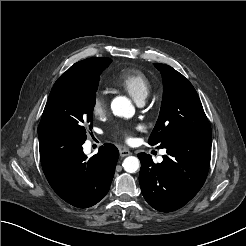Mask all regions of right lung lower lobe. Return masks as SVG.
Instances as JSON below:
<instances>
[{"label":"right lung lower lobe","mask_w":246,"mask_h":246,"mask_svg":"<svg viewBox=\"0 0 246 246\" xmlns=\"http://www.w3.org/2000/svg\"><path fill=\"white\" fill-rule=\"evenodd\" d=\"M79 134L46 132L39 134L40 159L53 190L78 208L98 203L108 192L118 160V149L104 144L87 158Z\"/></svg>","instance_id":"1"}]
</instances>
